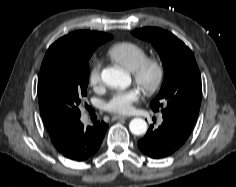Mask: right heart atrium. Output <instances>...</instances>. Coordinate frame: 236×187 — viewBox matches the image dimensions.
Returning <instances> with one entry per match:
<instances>
[{"instance_id":"obj_1","label":"right heart atrium","mask_w":236,"mask_h":187,"mask_svg":"<svg viewBox=\"0 0 236 187\" xmlns=\"http://www.w3.org/2000/svg\"><path fill=\"white\" fill-rule=\"evenodd\" d=\"M88 84L91 87H98L101 84V64L95 61L88 71Z\"/></svg>"}]
</instances>
